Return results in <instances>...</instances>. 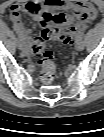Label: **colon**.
I'll return each mask as SVG.
<instances>
[{
	"instance_id": "1",
	"label": "colon",
	"mask_w": 104,
	"mask_h": 137,
	"mask_svg": "<svg viewBox=\"0 0 104 137\" xmlns=\"http://www.w3.org/2000/svg\"><path fill=\"white\" fill-rule=\"evenodd\" d=\"M42 26L41 35L32 43L31 53L41 67L42 81L44 83H50L55 77L56 66L51 52L46 48V41L58 40L63 44H70L71 37L65 27L54 23L47 15L43 16Z\"/></svg>"
}]
</instances>
